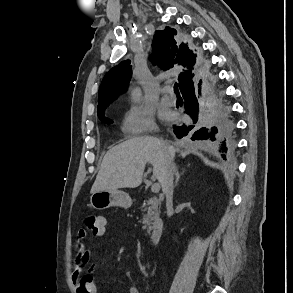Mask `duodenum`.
<instances>
[{"mask_svg": "<svg viewBox=\"0 0 293 293\" xmlns=\"http://www.w3.org/2000/svg\"><path fill=\"white\" fill-rule=\"evenodd\" d=\"M164 231V220L161 217H156L150 233V241L152 245H157L160 242Z\"/></svg>", "mask_w": 293, "mask_h": 293, "instance_id": "1", "label": "duodenum"}]
</instances>
